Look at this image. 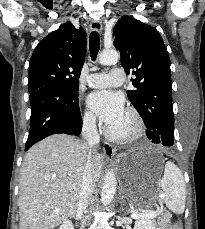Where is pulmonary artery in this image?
Here are the masks:
<instances>
[{
  "mask_svg": "<svg viewBox=\"0 0 205 229\" xmlns=\"http://www.w3.org/2000/svg\"><path fill=\"white\" fill-rule=\"evenodd\" d=\"M125 81V73L121 68H113L107 73H92L87 77V84L92 88L119 86Z\"/></svg>",
  "mask_w": 205,
  "mask_h": 229,
  "instance_id": "pulmonary-artery-1",
  "label": "pulmonary artery"
}]
</instances>
